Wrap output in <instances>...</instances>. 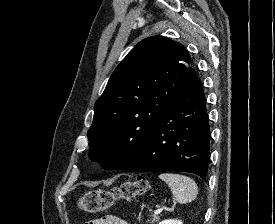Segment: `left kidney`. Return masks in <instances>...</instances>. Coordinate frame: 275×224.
I'll return each instance as SVG.
<instances>
[{
	"instance_id": "obj_1",
	"label": "left kidney",
	"mask_w": 275,
	"mask_h": 224,
	"mask_svg": "<svg viewBox=\"0 0 275 224\" xmlns=\"http://www.w3.org/2000/svg\"><path fill=\"white\" fill-rule=\"evenodd\" d=\"M159 224H183V223L180 220L169 219V220L161 221Z\"/></svg>"
}]
</instances>
